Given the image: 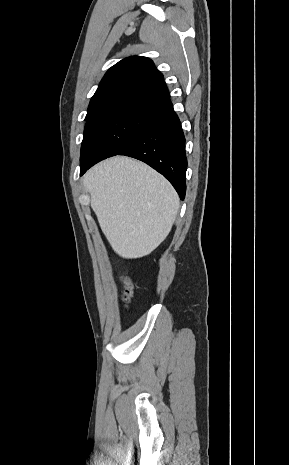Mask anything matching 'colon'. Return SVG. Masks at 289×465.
<instances>
[{
  "instance_id": "5ec220e1",
  "label": "colon",
  "mask_w": 289,
  "mask_h": 465,
  "mask_svg": "<svg viewBox=\"0 0 289 465\" xmlns=\"http://www.w3.org/2000/svg\"><path fill=\"white\" fill-rule=\"evenodd\" d=\"M122 283L124 285L123 301L127 305L133 293V285L128 277H122Z\"/></svg>"
}]
</instances>
